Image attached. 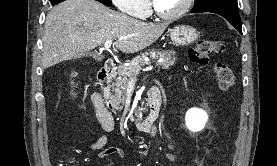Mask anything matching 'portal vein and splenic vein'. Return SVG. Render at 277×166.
Returning a JSON list of instances; mask_svg holds the SVG:
<instances>
[{"instance_id": "1", "label": "portal vein and splenic vein", "mask_w": 277, "mask_h": 166, "mask_svg": "<svg viewBox=\"0 0 277 166\" xmlns=\"http://www.w3.org/2000/svg\"><path fill=\"white\" fill-rule=\"evenodd\" d=\"M111 44H112V40L107 41V42L104 44L105 49H106V50H109V48L111 47ZM152 68H153L152 66H149V67H147L145 70H151Z\"/></svg>"}]
</instances>
